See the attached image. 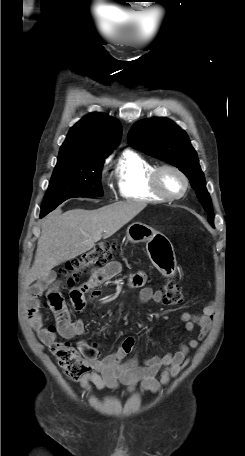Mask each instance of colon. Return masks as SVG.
Listing matches in <instances>:
<instances>
[{"label":"colon","instance_id":"colon-1","mask_svg":"<svg viewBox=\"0 0 245 456\" xmlns=\"http://www.w3.org/2000/svg\"><path fill=\"white\" fill-rule=\"evenodd\" d=\"M116 248L115 241H105L96 245L91 250L66 263L62 269V275L68 286L74 285L80 274L87 268L103 267L108 264ZM164 303L179 305L184 300L182 287L173 280H167L163 286ZM54 332V328H48ZM49 348L59 366L67 376L73 380H79L91 370L90 365L83 359V354L74 348L67 340L54 339Z\"/></svg>","mask_w":245,"mask_h":456}]
</instances>
